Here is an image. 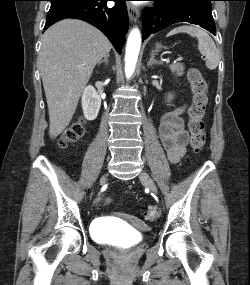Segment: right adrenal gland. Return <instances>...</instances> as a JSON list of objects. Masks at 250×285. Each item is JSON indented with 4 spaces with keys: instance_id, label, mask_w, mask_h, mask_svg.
Instances as JSON below:
<instances>
[{
    "instance_id": "1",
    "label": "right adrenal gland",
    "mask_w": 250,
    "mask_h": 285,
    "mask_svg": "<svg viewBox=\"0 0 250 285\" xmlns=\"http://www.w3.org/2000/svg\"><path fill=\"white\" fill-rule=\"evenodd\" d=\"M108 58H109V54L105 56L104 59L98 63V65H101L102 63L108 64Z\"/></svg>"
}]
</instances>
